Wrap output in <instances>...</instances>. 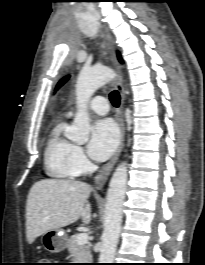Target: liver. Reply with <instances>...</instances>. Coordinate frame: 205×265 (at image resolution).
<instances>
[{
  "mask_svg": "<svg viewBox=\"0 0 205 265\" xmlns=\"http://www.w3.org/2000/svg\"><path fill=\"white\" fill-rule=\"evenodd\" d=\"M92 187L81 181L45 179L33 184L26 203V237L29 244L50 230L91 221L87 201Z\"/></svg>",
  "mask_w": 205,
  "mask_h": 265,
  "instance_id": "obj_1",
  "label": "liver"
}]
</instances>
